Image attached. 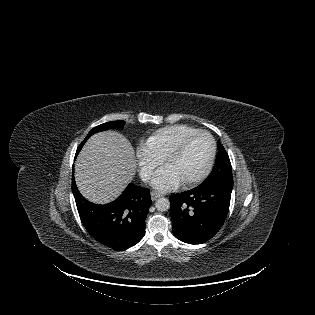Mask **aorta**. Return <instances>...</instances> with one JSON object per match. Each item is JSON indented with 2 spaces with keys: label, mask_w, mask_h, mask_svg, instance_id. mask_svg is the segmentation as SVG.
Instances as JSON below:
<instances>
[{
  "label": "aorta",
  "mask_w": 315,
  "mask_h": 315,
  "mask_svg": "<svg viewBox=\"0 0 315 315\" xmlns=\"http://www.w3.org/2000/svg\"><path fill=\"white\" fill-rule=\"evenodd\" d=\"M155 207L161 212L168 211L170 209V201L165 197H160L156 200Z\"/></svg>",
  "instance_id": "762f6f07"
}]
</instances>
